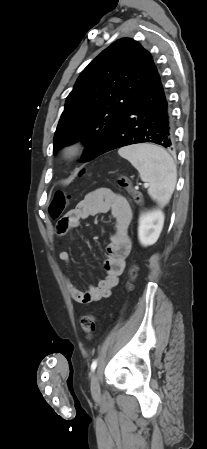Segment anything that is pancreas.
<instances>
[{"label": "pancreas", "mask_w": 207, "mask_h": 449, "mask_svg": "<svg viewBox=\"0 0 207 449\" xmlns=\"http://www.w3.org/2000/svg\"><path fill=\"white\" fill-rule=\"evenodd\" d=\"M132 196H133L134 198H136V197H140L141 194L138 193V192H136V191H134V192H132Z\"/></svg>", "instance_id": "cf45deb5"}]
</instances>
